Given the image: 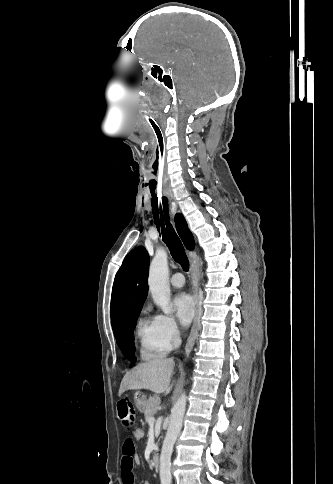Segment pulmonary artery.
Here are the masks:
<instances>
[{"label": "pulmonary artery", "instance_id": "e3ab8cb5", "mask_svg": "<svg viewBox=\"0 0 333 484\" xmlns=\"http://www.w3.org/2000/svg\"><path fill=\"white\" fill-rule=\"evenodd\" d=\"M170 282H171L173 287L181 288V287L184 286L185 279H184V276H183L182 273L176 272V273L172 274V276L170 278Z\"/></svg>", "mask_w": 333, "mask_h": 484}]
</instances>
